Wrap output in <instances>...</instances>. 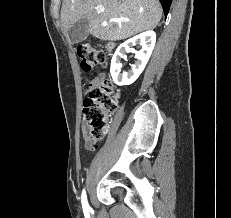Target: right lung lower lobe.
<instances>
[{
	"label": "right lung lower lobe",
	"mask_w": 231,
	"mask_h": 218,
	"mask_svg": "<svg viewBox=\"0 0 231 218\" xmlns=\"http://www.w3.org/2000/svg\"><path fill=\"white\" fill-rule=\"evenodd\" d=\"M159 1L163 7L165 16H167L172 0H159Z\"/></svg>",
	"instance_id": "98d812e1"
}]
</instances>
